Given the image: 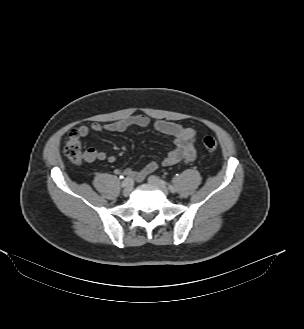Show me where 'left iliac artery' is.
<instances>
[{
    "instance_id": "obj_1",
    "label": "left iliac artery",
    "mask_w": 304,
    "mask_h": 329,
    "mask_svg": "<svg viewBox=\"0 0 304 329\" xmlns=\"http://www.w3.org/2000/svg\"><path fill=\"white\" fill-rule=\"evenodd\" d=\"M169 189H170V191H171L172 193H175V192H176L175 188H174L172 185H169Z\"/></svg>"
}]
</instances>
